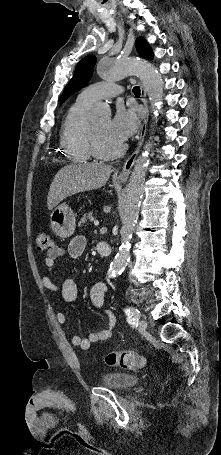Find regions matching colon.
I'll return each mask as SVG.
<instances>
[{
	"instance_id": "1",
	"label": "colon",
	"mask_w": 221,
	"mask_h": 455,
	"mask_svg": "<svg viewBox=\"0 0 221 455\" xmlns=\"http://www.w3.org/2000/svg\"><path fill=\"white\" fill-rule=\"evenodd\" d=\"M35 244L38 251H50L53 248L51 236L46 230L37 232ZM105 363L111 367L136 370L145 365V358L135 351L110 352L105 357Z\"/></svg>"
}]
</instances>
